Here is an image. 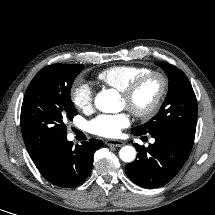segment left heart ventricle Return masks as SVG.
<instances>
[{
  "mask_svg": "<svg viewBox=\"0 0 215 215\" xmlns=\"http://www.w3.org/2000/svg\"><path fill=\"white\" fill-rule=\"evenodd\" d=\"M159 89V83L156 79L147 81L135 95L132 105L137 108H145L154 100ZM122 106L127 107L128 102L122 97Z\"/></svg>",
  "mask_w": 215,
  "mask_h": 215,
  "instance_id": "b2bd125f",
  "label": "left heart ventricle"
}]
</instances>
